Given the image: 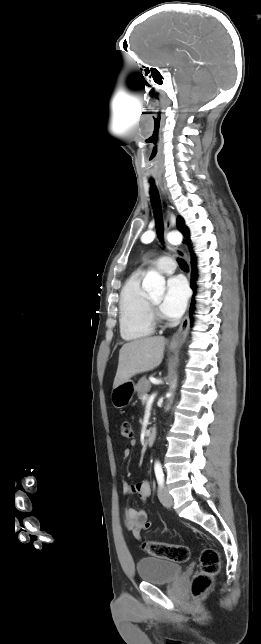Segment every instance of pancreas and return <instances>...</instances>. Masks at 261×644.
<instances>
[{"mask_svg":"<svg viewBox=\"0 0 261 644\" xmlns=\"http://www.w3.org/2000/svg\"><path fill=\"white\" fill-rule=\"evenodd\" d=\"M150 388H151V384L145 377L141 378L138 381V383L136 385V391H137V394H138V398L142 402H144V400L142 399L143 395L147 394L150 391Z\"/></svg>","mask_w":261,"mask_h":644,"instance_id":"obj_1","label":"pancreas"}]
</instances>
